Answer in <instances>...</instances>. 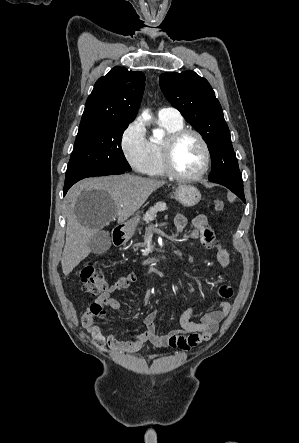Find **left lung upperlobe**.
<instances>
[{
    "mask_svg": "<svg viewBox=\"0 0 299 443\" xmlns=\"http://www.w3.org/2000/svg\"><path fill=\"white\" fill-rule=\"evenodd\" d=\"M160 87L167 100L203 136L211 154L210 180L243 184L221 105L208 81L193 71L163 73Z\"/></svg>",
    "mask_w": 299,
    "mask_h": 443,
    "instance_id": "1",
    "label": "left lung upper lobe"
}]
</instances>
